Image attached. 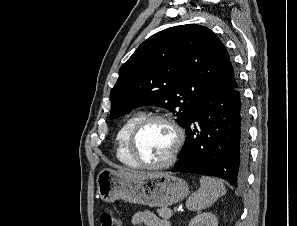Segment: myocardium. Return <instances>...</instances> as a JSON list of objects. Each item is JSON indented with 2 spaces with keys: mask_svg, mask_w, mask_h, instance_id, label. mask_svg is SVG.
I'll use <instances>...</instances> for the list:
<instances>
[{
  "mask_svg": "<svg viewBox=\"0 0 297 226\" xmlns=\"http://www.w3.org/2000/svg\"><path fill=\"white\" fill-rule=\"evenodd\" d=\"M161 121L169 125L175 135V142L169 157L161 163L148 164L142 161L136 151V139L141 129L148 123ZM185 141V134L180 124L171 116L166 114H149L140 118L132 127L127 140V149L129 155L139 168L148 170H160L172 166L178 159Z\"/></svg>",
  "mask_w": 297,
  "mask_h": 226,
  "instance_id": "obj_1",
  "label": "myocardium"
}]
</instances>
